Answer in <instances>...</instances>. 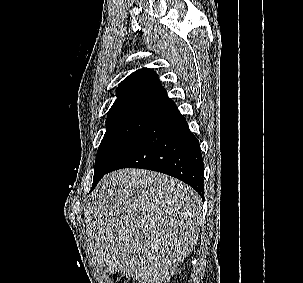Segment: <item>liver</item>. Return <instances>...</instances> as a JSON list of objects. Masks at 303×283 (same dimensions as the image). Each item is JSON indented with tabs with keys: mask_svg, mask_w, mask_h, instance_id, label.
<instances>
[{
	"mask_svg": "<svg viewBox=\"0 0 303 283\" xmlns=\"http://www.w3.org/2000/svg\"><path fill=\"white\" fill-rule=\"evenodd\" d=\"M201 224L202 200L195 190L143 169L105 175L85 211L97 264L139 283H167L193 251Z\"/></svg>",
	"mask_w": 303,
	"mask_h": 283,
	"instance_id": "1",
	"label": "liver"
}]
</instances>
